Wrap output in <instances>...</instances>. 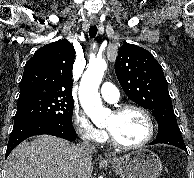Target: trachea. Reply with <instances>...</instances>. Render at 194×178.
<instances>
[{"instance_id": "3493384b", "label": "trachea", "mask_w": 194, "mask_h": 178, "mask_svg": "<svg viewBox=\"0 0 194 178\" xmlns=\"http://www.w3.org/2000/svg\"><path fill=\"white\" fill-rule=\"evenodd\" d=\"M97 31H98V29H97L96 25H93L89 28V36L91 39L95 38Z\"/></svg>"}]
</instances>
